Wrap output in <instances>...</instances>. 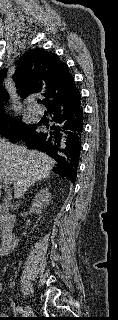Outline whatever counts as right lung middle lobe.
I'll list each match as a JSON object with an SVG mask.
<instances>
[{
  "label": "right lung middle lobe",
  "mask_w": 118,
  "mask_h": 320,
  "mask_svg": "<svg viewBox=\"0 0 118 320\" xmlns=\"http://www.w3.org/2000/svg\"><path fill=\"white\" fill-rule=\"evenodd\" d=\"M9 120L6 117L0 118V134L7 135L12 142H17L37 129V125H27L21 121L12 122L11 127H2L7 125Z\"/></svg>",
  "instance_id": "obj_1"
}]
</instances>
